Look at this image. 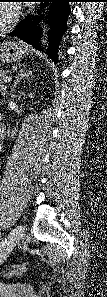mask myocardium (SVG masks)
Here are the masks:
<instances>
[{"label":"myocardium","instance_id":"myocardium-1","mask_svg":"<svg viewBox=\"0 0 107 297\" xmlns=\"http://www.w3.org/2000/svg\"><path fill=\"white\" fill-rule=\"evenodd\" d=\"M11 8L13 9V16L7 24L0 27V34L8 32L14 26V24L18 19V16H19L18 8L14 5H11Z\"/></svg>","mask_w":107,"mask_h":297}]
</instances>
